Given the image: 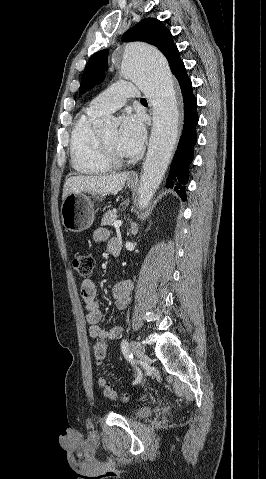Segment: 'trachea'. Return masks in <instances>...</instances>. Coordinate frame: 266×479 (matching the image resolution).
Here are the masks:
<instances>
[{
  "label": "trachea",
  "mask_w": 266,
  "mask_h": 479,
  "mask_svg": "<svg viewBox=\"0 0 266 479\" xmlns=\"http://www.w3.org/2000/svg\"><path fill=\"white\" fill-rule=\"evenodd\" d=\"M141 102H146V99L142 98V99H141Z\"/></svg>",
  "instance_id": "1"
}]
</instances>
